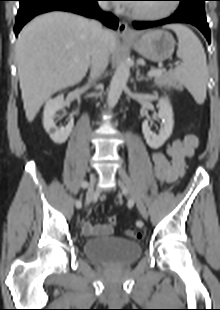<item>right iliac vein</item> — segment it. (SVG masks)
<instances>
[{
    "label": "right iliac vein",
    "mask_w": 220,
    "mask_h": 310,
    "mask_svg": "<svg viewBox=\"0 0 220 310\" xmlns=\"http://www.w3.org/2000/svg\"><path fill=\"white\" fill-rule=\"evenodd\" d=\"M95 181H96V176H95V174H93L91 176L90 183H89V186H88V190L86 192V197H85V206L86 207L91 203V201H92V199L94 197Z\"/></svg>",
    "instance_id": "obj_1"
}]
</instances>
